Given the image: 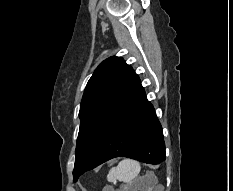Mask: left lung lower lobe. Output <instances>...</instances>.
<instances>
[{
  "label": "left lung lower lobe",
  "instance_id": "0a47b994",
  "mask_svg": "<svg viewBox=\"0 0 233 191\" xmlns=\"http://www.w3.org/2000/svg\"><path fill=\"white\" fill-rule=\"evenodd\" d=\"M115 157L150 164L166 158L162 127L140 82L107 125L82 168L73 175L74 181Z\"/></svg>",
  "mask_w": 233,
  "mask_h": 191
}]
</instances>
